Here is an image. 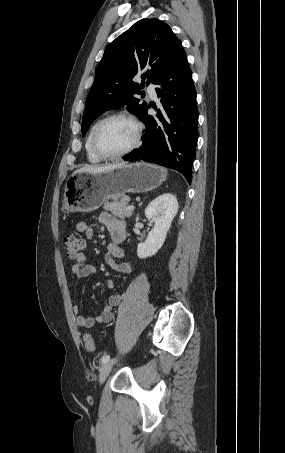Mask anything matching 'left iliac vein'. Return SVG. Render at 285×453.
I'll use <instances>...</instances> for the list:
<instances>
[{
    "label": "left iliac vein",
    "instance_id": "4c4485c4",
    "mask_svg": "<svg viewBox=\"0 0 285 453\" xmlns=\"http://www.w3.org/2000/svg\"><path fill=\"white\" fill-rule=\"evenodd\" d=\"M116 359H111L107 361L106 363L103 364V366L100 369L99 377H98V382L100 385L104 383L106 380L108 374L110 373L113 365L116 363Z\"/></svg>",
    "mask_w": 285,
    "mask_h": 453
}]
</instances>
